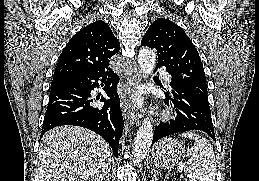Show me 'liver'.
<instances>
[{"label":"liver","mask_w":259,"mask_h":181,"mask_svg":"<svg viewBox=\"0 0 259 181\" xmlns=\"http://www.w3.org/2000/svg\"><path fill=\"white\" fill-rule=\"evenodd\" d=\"M111 156L109 144L95 132L77 126L53 128L40 143V181H102Z\"/></svg>","instance_id":"1"}]
</instances>
